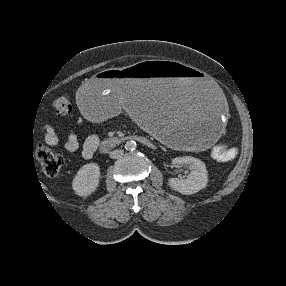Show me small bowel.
Masks as SVG:
<instances>
[{"label":"small bowel","mask_w":286,"mask_h":286,"mask_svg":"<svg viewBox=\"0 0 286 286\" xmlns=\"http://www.w3.org/2000/svg\"><path fill=\"white\" fill-rule=\"evenodd\" d=\"M43 131L45 133V140L50 145H55L58 143V136L51 126H44ZM64 148L72 153L80 152L84 159H90L96 152L99 146V137L96 134L88 136L84 141H80L76 132L70 130L63 142ZM230 159L234 157L235 150L228 148Z\"/></svg>","instance_id":"small-bowel-1"}]
</instances>
